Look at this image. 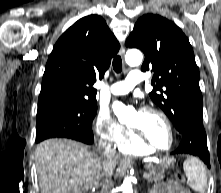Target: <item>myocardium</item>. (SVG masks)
I'll use <instances>...</instances> for the list:
<instances>
[{
    "mask_svg": "<svg viewBox=\"0 0 221 193\" xmlns=\"http://www.w3.org/2000/svg\"><path fill=\"white\" fill-rule=\"evenodd\" d=\"M143 112H151V113L157 114L158 116H160L162 118V120L166 124L168 132H169L170 143L166 148L158 147V146L154 145L153 143H151L140 131L129 126V129H130L131 133L133 134L134 138L140 144H142L144 147H146L149 150H154V151H159V152H166V151L171 150V148L173 147L174 142H175V134H174V128H173L172 123H171L170 119L168 118V116L162 110H160L156 107H153V106H146L143 109Z\"/></svg>",
    "mask_w": 221,
    "mask_h": 193,
    "instance_id": "myocardium-1",
    "label": "myocardium"
}]
</instances>
